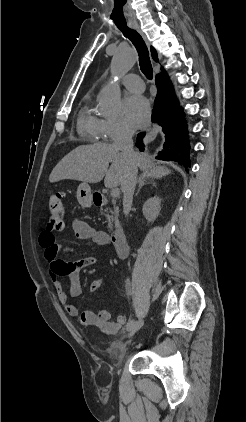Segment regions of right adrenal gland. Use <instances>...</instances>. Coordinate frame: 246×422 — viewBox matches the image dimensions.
<instances>
[{"mask_svg": "<svg viewBox=\"0 0 246 422\" xmlns=\"http://www.w3.org/2000/svg\"><path fill=\"white\" fill-rule=\"evenodd\" d=\"M137 183H138V190H137L135 196H137L139 194L140 189L144 185H146V184H153V185H155V183L153 182V180L148 181V178L147 177H144V176L139 177Z\"/></svg>", "mask_w": 246, "mask_h": 422, "instance_id": "obj_1", "label": "right adrenal gland"}]
</instances>
